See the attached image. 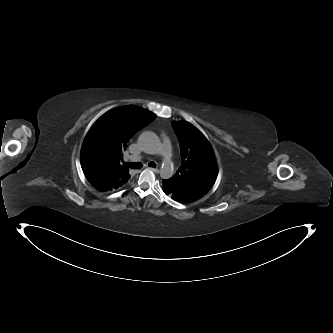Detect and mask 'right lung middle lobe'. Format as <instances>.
I'll return each instance as SVG.
<instances>
[{
    "label": "right lung middle lobe",
    "mask_w": 333,
    "mask_h": 333,
    "mask_svg": "<svg viewBox=\"0 0 333 333\" xmlns=\"http://www.w3.org/2000/svg\"><path fill=\"white\" fill-rule=\"evenodd\" d=\"M93 151L92 146L89 142L84 141L82 150H81V163L86 162Z\"/></svg>",
    "instance_id": "obj_1"
}]
</instances>
